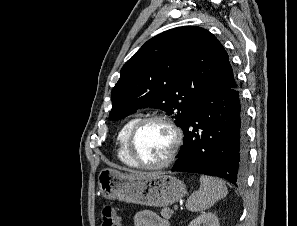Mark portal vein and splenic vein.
I'll list each match as a JSON object with an SVG mask.
<instances>
[{
    "label": "portal vein and splenic vein",
    "mask_w": 297,
    "mask_h": 226,
    "mask_svg": "<svg viewBox=\"0 0 297 226\" xmlns=\"http://www.w3.org/2000/svg\"><path fill=\"white\" fill-rule=\"evenodd\" d=\"M173 209H174V210H177V209H178V205H174V206H173Z\"/></svg>",
    "instance_id": "18ae733b"
}]
</instances>
